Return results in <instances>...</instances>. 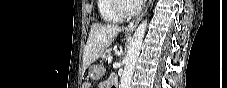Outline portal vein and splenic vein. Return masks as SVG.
<instances>
[{
	"label": "portal vein and splenic vein",
	"mask_w": 227,
	"mask_h": 88,
	"mask_svg": "<svg viewBox=\"0 0 227 88\" xmlns=\"http://www.w3.org/2000/svg\"><path fill=\"white\" fill-rule=\"evenodd\" d=\"M112 61V56L108 57V62L110 63Z\"/></svg>",
	"instance_id": "18ae733b"
}]
</instances>
